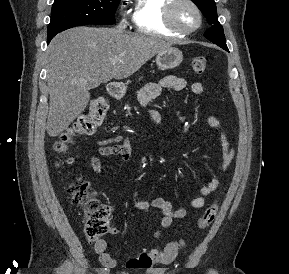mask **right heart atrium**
<instances>
[{
  "label": "right heart atrium",
  "instance_id": "right-heart-atrium-1",
  "mask_svg": "<svg viewBox=\"0 0 289 274\" xmlns=\"http://www.w3.org/2000/svg\"><path fill=\"white\" fill-rule=\"evenodd\" d=\"M122 23H123V24H125L126 22H125V21H123Z\"/></svg>",
  "mask_w": 289,
  "mask_h": 274
}]
</instances>
